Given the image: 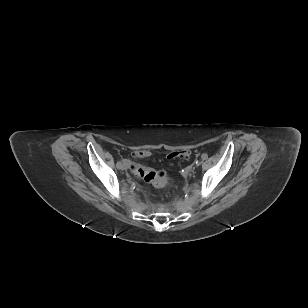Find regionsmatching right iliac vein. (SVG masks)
<instances>
[{"mask_svg": "<svg viewBox=\"0 0 308 308\" xmlns=\"http://www.w3.org/2000/svg\"><path fill=\"white\" fill-rule=\"evenodd\" d=\"M117 168L120 169V170H125L126 166L121 163Z\"/></svg>", "mask_w": 308, "mask_h": 308, "instance_id": "63e3f726", "label": "right iliac vein"}]
</instances>
